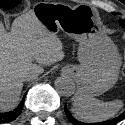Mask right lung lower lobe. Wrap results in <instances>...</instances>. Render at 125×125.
<instances>
[{"instance_id":"1","label":"right lung lower lobe","mask_w":125,"mask_h":125,"mask_svg":"<svg viewBox=\"0 0 125 125\" xmlns=\"http://www.w3.org/2000/svg\"><path fill=\"white\" fill-rule=\"evenodd\" d=\"M25 99V96L23 97V100ZM21 101L18 107L10 112L7 113H0V123H7L15 120L21 113L24 101Z\"/></svg>"}]
</instances>
